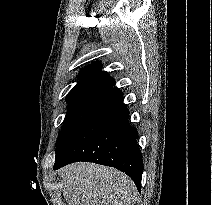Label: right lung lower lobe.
<instances>
[{
    "label": "right lung lower lobe",
    "mask_w": 212,
    "mask_h": 205,
    "mask_svg": "<svg viewBox=\"0 0 212 205\" xmlns=\"http://www.w3.org/2000/svg\"><path fill=\"white\" fill-rule=\"evenodd\" d=\"M123 93L111 87L64 152L55 159L57 170L67 164L87 161L125 172L141 189L143 159L137 130L129 124Z\"/></svg>",
    "instance_id": "obj_1"
}]
</instances>
